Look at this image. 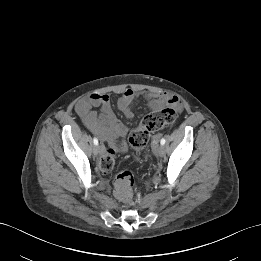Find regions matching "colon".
Listing matches in <instances>:
<instances>
[{
	"instance_id": "obj_1",
	"label": "colon",
	"mask_w": 261,
	"mask_h": 261,
	"mask_svg": "<svg viewBox=\"0 0 261 261\" xmlns=\"http://www.w3.org/2000/svg\"><path fill=\"white\" fill-rule=\"evenodd\" d=\"M177 117L176 110L164 108L155 110L143 117L138 128L129 134L130 145L139 152H144L151 133L175 122ZM115 165V152L108 149L101 157L99 167L104 173L110 172ZM134 178L131 172H120L114 183L116 196L125 202H131L133 197Z\"/></svg>"
}]
</instances>
